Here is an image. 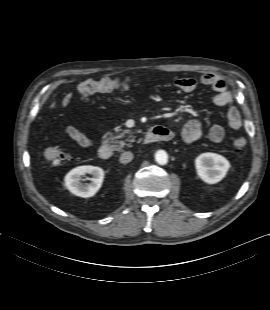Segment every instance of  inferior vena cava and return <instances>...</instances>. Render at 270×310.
<instances>
[{"label": "inferior vena cava", "mask_w": 270, "mask_h": 310, "mask_svg": "<svg viewBox=\"0 0 270 310\" xmlns=\"http://www.w3.org/2000/svg\"><path fill=\"white\" fill-rule=\"evenodd\" d=\"M133 153L130 151H126L121 154L120 156V162L123 164L129 163L133 159Z\"/></svg>", "instance_id": "1"}]
</instances>
